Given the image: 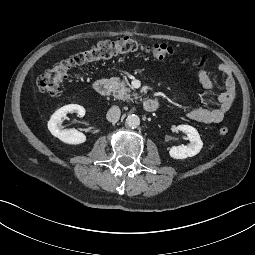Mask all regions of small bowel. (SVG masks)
<instances>
[{"label":"small bowel","mask_w":255,"mask_h":255,"mask_svg":"<svg viewBox=\"0 0 255 255\" xmlns=\"http://www.w3.org/2000/svg\"><path fill=\"white\" fill-rule=\"evenodd\" d=\"M217 69L224 74V90L217 94L218 107L207 108L199 107L191 110L188 117L196 122L203 124H215L221 122L236 98V84L231 68L225 64H218ZM200 84L207 90H214L213 79L204 70L196 72Z\"/></svg>","instance_id":"1"}]
</instances>
